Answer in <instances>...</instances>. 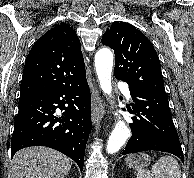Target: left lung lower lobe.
I'll return each instance as SVG.
<instances>
[{
    "mask_svg": "<svg viewBox=\"0 0 194 178\" xmlns=\"http://www.w3.org/2000/svg\"><path fill=\"white\" fill-rule=\"evenodd\" d=\"M133 97L132 136L122 155L147 150L169 152L184 162L180 140L170 113L165 92H154L129 86Z\"/></svg>",
    "mask_w": 194,
    "mask_h": 178,
    "instance_id": "1",
    "label": "left lung lower lobe"
}]
</instances>
